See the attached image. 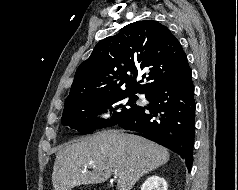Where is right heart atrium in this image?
Here are the masks:
<instances>
[{
    "label": "right heart atrium",
    "mask_w": 238,
    "mask_h": 190,
    "mask_svg": "<svg viewBox=\"0 0 238 190\" xmlns=\"http://www.w3.org/2000/svg\"><path fill=\"white\" fill-rule=\"evenodd\" d=\"M110 111L106 108L99 109L96 113V118L98 119H107L110 117Z\"/></svg>",
    "instance_id": "1"
}]
</instances>
